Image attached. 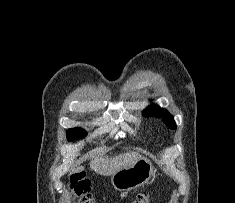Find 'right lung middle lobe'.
Segmentation results:
<instances>
[{"mask_svg":"<svg viewBox=\"0 0 235 203\" xmlns=\"http://www.w3.org/2000/svg\"><path fill=\"white\" fill-rule=\"evenodd\" d=\"M68 141L84 138L87 132L81 128H71L66 132Z\"/></svg>","mask_w":235,"mask_h":203,"instance_id":"dd1d6c3e","label":"right lung middle lobe"}]
</instances>
